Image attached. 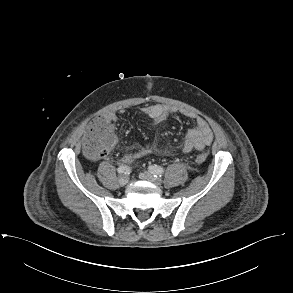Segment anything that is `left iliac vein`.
Returning a JSON list of instances; mask_svg holds the SVG:
<instances>
[{"label":"left iliac vein","instance_id":"1","mask_svg":"<svg viewBox=\"0 0 293 293\" xmlns=\"http://www.w3.org/2000/svg\"><path fill=\"white\" fill-rule=\"evenodd\" d=\"M139 177L142 180L149 181L157 186L161 185L162 180L160 178L155 177L152 173L150 172H142L140 173Z\"/></svg>","mask_w":293,"mask_h":293}]
</instances>
